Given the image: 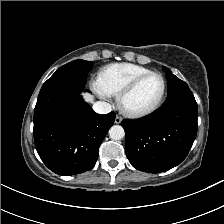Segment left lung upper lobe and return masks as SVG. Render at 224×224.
<instances>
[{"label":"left lung upper lobe","mask_w":224,"mask_h":224,"mask_svg":"<svg viewBox=\"0 0 224 224\" xmlns=\"http://www.w3.org/2000/svg\"><path fill=\"white\" fill-rule=\"evenodd\" d=\"M163 70L166 72V78H167V85H168V95L173 94L183 88L188 87V85L180 80L178 77L172 74V72L167 68L163 66Z\"/></svg>","instance_id":"left-lung-upper-lobe-1"}]
</instances>
